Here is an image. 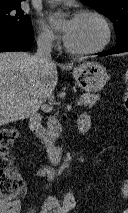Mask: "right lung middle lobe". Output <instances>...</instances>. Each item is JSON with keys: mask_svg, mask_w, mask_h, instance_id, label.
Wrapping results in <instances>:
<instances>
[{"mask_svg": "<svg viewBox=\"0 0 128 213\" xmlns=\"http://www.w3.org/2000/svg\"><path fill=\"white\" fill-rule=\"evenodd\" d=\"M31 26L30 18L20 4L0 6V33H29Z\"/></svg>", "mask_w": 128, "mask_h": 213, "instance_id": "1", "label": "right lung middle lobe"}]
</instances>
